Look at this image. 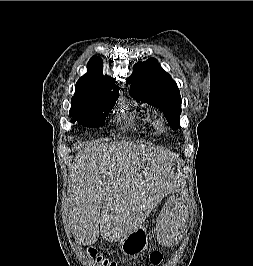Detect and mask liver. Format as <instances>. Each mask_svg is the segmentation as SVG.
<instances>
[{
	"instance_id": "obj_1",
	"label": "liver",
	"mask_w": 253,
	"mask_h": 266,
	"mask_svg": "<svg viewBox=\"0 0 253 266\" xmlns=\"http://www.w3.org/2000/svg\"><path fill=\"white\" fill-rule=\"evenodd\" d=\"M170 159L165 149L131 141L80 148L72 167L69 213L76 242L92 245L100 234L120 242L141 227L156 204L159 175Z\"/></svg>"
}]
</instances>
